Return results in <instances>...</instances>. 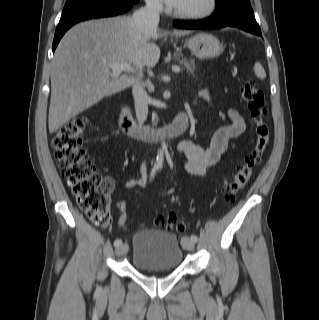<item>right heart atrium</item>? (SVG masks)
Listing matches in <instances>:
<instances>
[{
  "label": "right heart atrium",
  "instance_id": "right-heart-atrium-1",
  "mask_svg": "<svg viewBox=\"0 0 319 320\" xmlns=\"http://www.w3.org/2000/svg\"><path fill=\"white\" fill-rule=\"evenodd\" d=\"M146 5L148 9L156 12L161 11L163 9L161 0H146Z\"/></svg>",
  "mask_w": 319,
  "mask_h": 320
}]
</instances>
